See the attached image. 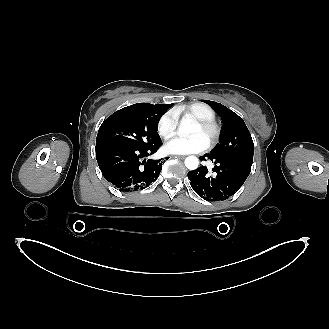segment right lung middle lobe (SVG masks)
<instances>
[{
  "label": "right lung middle lobe",
  "mask_w": 329,
  "mask_h": 329,
  "mask_svg": "<svg viewBox=\"0 0 329 329\" xmlns=\"http://www.w3.org/2000/svg\"><path fill=\"white\" fill-rule=\"evenodd\" d=\"M172 105L137 103L113 113L100 126L96 145L118 143L149 147L161 142L158 122Z\"/></svg>",
  "instance_id": "obj_1"
}]
</instances>
